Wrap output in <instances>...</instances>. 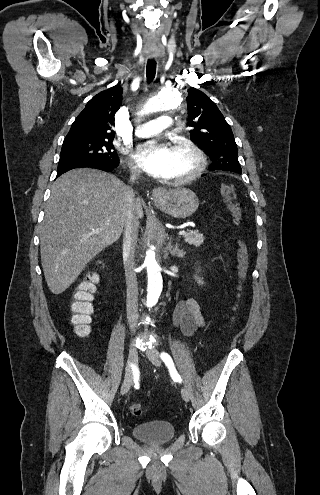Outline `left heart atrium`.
<instances>
[{
	"mask_svg": "<svg viewBox=\"0 0 320 495\" xmlns=\"http://www.w3.org/2000/svg\"><path fill=\"white\" fill-rule=\"evenodd\" d=\"M135 158L150 175L171 178L173 164L171 148L155 142H147L138 147Z\"/></svg>",
	"mask_w": 320,
	"mask_h": 495,
	"instance_id": "39dd6f15",
	"label": "left heart atrium"
}]
</instances>
